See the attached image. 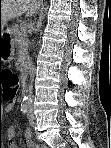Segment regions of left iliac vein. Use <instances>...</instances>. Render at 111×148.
Wrapping results in <instances>:
<instances>
[{
    "label": "left iliac vein",
    "mask_w": 111,
    "mask_h": 148,
    "mask_svg": "<svg viewBox=\"0 0 111 148\" xmlns=\"http://www.w3.org/2000/svg\"><path fill=\"white\" fill-rule=\"evenodd\" d=\"M28 119H29L30 126H34V124H35V116H34L32 107L29 108Z\"/></svg>",
    "instance_id": "4c4485c4"
}]
</instances>
